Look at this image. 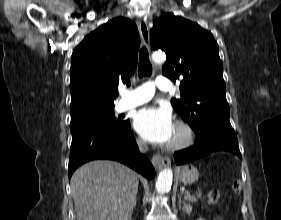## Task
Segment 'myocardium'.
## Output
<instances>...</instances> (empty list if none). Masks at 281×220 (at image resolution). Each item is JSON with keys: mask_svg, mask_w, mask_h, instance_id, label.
<instances>
[{"mask_svg": "<svg viewBox=\"0 0 281 220\" xmlns=\"http://www.w3.org/2000/svg\"><path fill=\"white\" fill-rule=\"evenodd\" d=\"M175 126L181 131L182 138L180 141L173 144H168L166 146V148L170 151H177L187 148L194 141V130L188 122L184 120H178Z\"/></svg>", "mask_w": 281, "mask_h": 220, "instance_id": "obj_1", "label": "myocardium"}]
</instances>
